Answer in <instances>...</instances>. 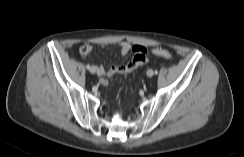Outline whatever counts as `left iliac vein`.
<instances>
[{
	"label": "left iliac vein",
	"instance_id": "1",
	"mask_svg": "<svg viewBox=\"0 0 244 157\" xmlns=\"http://www.w3.org/2000/svg\"><path fill=\"white\" fill-rule=\"evenodd\" d=\"M153 74H154L153 70L149 69V70L147 71V76H148V77H152Z\"/></svg>",
	"mask_w": 244,
	"mask_h": 157
}]
</instances>
